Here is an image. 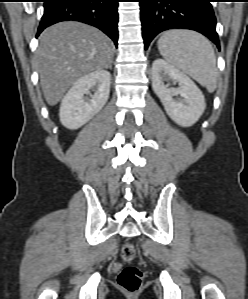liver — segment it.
I'll return each mask as SVG.
<instances>
[{
    "label": "liver",
    "instance_id": "6515ba94",
    "mask_svg": "<svg viewBox=\"0 0 248 299\" xmlns=\"http://www.w3.org/2000/svg\"><path fill=\"white\" fill-rule=\"evenodd\" d=\"M113 43L100 30L67 21L47 28L36 52L40 84L47 103L56 105L81 77L112 63Z\"/></svg>",
    "mask_w": 248,
    "mask_h": 299
}]
</instances>
